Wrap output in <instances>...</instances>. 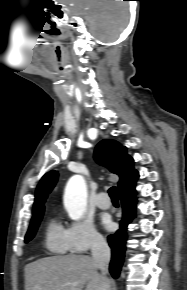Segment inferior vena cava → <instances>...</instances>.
Segmentation results:
<instances>
[{
  "label": "inferior vena cava",
  "instance_id": "obj_1",
  "mask_svg": "<svg viewBox=\"0 0 187 290\" xmlns=\"http://www.w3.org/2000/svg\"><path fill=\"white\" fill-rule=\"evenodd\" d=\"M92 258L98 269L102 274H106L108 271V265L110 261V248L103 237L96 236L92 241L91 246Z\"/></svg>",
  "mask_w": 187,
  "mask_h": 290
}]
</instances>
